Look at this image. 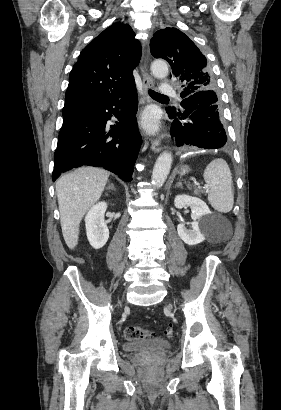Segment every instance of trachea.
Wrapping results in <instances>:
<instances>
[{
    "label": "trachea",
    "mask_w": 281,
    "mask_h": 410,
    "mask_svg": "<svg viewBox=\"0 0 281 410\" xmlns=\"http://www.w3.org/2000/svg\"><path fill=\"white\" fill-rule=\"evenodd\" d=\"M148 93L152 98H168V96L157 93L151 89L148 90Z\"/></svg>",
    "instance_id": "1"
}]
</instances>
